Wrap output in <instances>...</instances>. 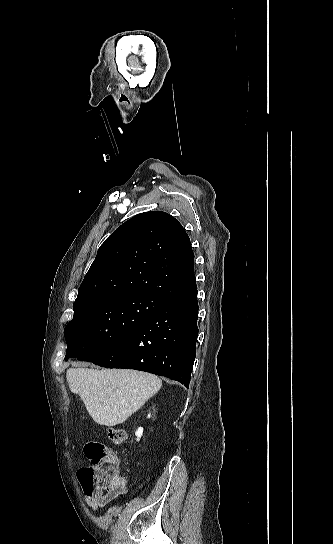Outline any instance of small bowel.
Returning <instances> with one entry per match:
<instances>
[{"label":"small bowel","instance_id":"1","mask_svg":"<svg viewBox=\"0 0 333 544\" xmlns=\"http://www.w3.org/2000/svg\"><path fill=\"white\" fill-rule=\"evenodd\" d=\"M126 480L121 479L120 483L109 490L98 489L93 492L84 491V498L86 503L94 510L99 511L103 509L106 504L111 502L113 499L126 494Z\"/></svg>","mask_w":333,"mask_h":544}]
</instances>
